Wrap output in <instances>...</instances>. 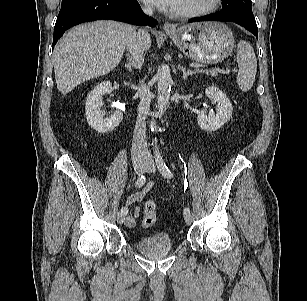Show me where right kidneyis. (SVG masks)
Here are the masks:
<instances>
[{
  "label": "right kidney",
  "mask_w": 307,
  "mask_h": 301,
  "mask_svg": "<svg viewBox=\"0 0 307 301\" xmlns=\"http://www.w3.org/2000/svg\"><path fill=\"white\" fill-rule=\"evenodd\" d=\"M112 92L110 81H104L98 84L88 95L85 105L86 119L88 124L99 133L113 131L123 119V114L116 111L109 118L104 119L101 107L103 105L102 97Z\"/></svg>",
  "instance_id": "1"
}]
</instances>
